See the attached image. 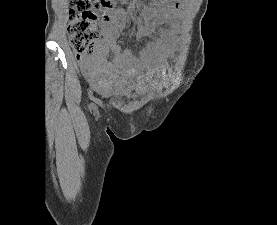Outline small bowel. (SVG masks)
<instances>
[{
  "label": "small bowel",
  "mask_w": 277,
  "mask_h": 225,
  "mask_svg": "<svg viewBox=\"0 0 277 225\" xmlns=\"http://www.w3.org/2000/svg\"><path fill=\"white\" fill-rule=\"evenodd\" d=\"M166 3L167 0H162L158 5L145 11L146 24L138 35L147 36L150 41L145 53L141 54L133 50L121 52L114 44L115 37L122 33L128 21L122 10L111 8L108 14L102 17L103 49L93 55L76 56L83 75L96 92L106 94L112 88H126L123 82L125 73L139 74L135 86L136 95H143L147 91L159 90L166 86V79L150 82L155 72L160 71L171 51L173 29L180 17L177 8ZM159 25H164V28L156 32L155 28ZM110 54L111 60L108 59ZM144 63H148L151 69L140 72Z\"/></svg>",
  "instance_id": "c3829d8e"
}]
</instances>
